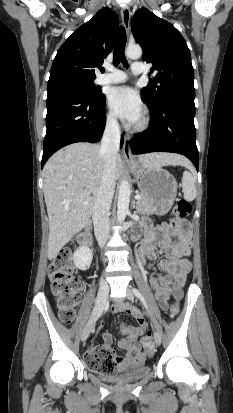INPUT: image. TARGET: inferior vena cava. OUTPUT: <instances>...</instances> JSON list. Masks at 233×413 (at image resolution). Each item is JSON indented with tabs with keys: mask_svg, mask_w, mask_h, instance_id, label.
Returning <instances> with one entry per match:
<instances>
[{
	"mask_svg": "<svg viewBox=\"0 0 233 413\" xmlns=\"http://www.w3.org/2000/svg\"><path fill=\"white\" fill-rule=\"evenodd\" d=\"M120 145V130L116 118L107 119L101 140L100 155L103 157L102 182L93 207L94 233L102 248L109 238V210L115 189V162Z\"/></svg>",
	"mask_w": 233,
	"mask_h": 413,
	"instance_id": "602c4592",
	"label": "inferior vena cava"
}]
</instances>
